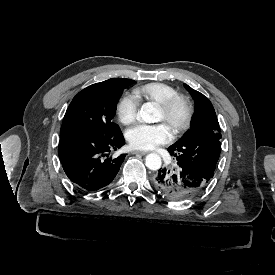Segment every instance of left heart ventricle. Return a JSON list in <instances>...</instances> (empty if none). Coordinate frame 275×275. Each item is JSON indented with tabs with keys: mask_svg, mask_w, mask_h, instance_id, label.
<instances>
[{
	"mask_svg": "<svg viewBox=\"0 0 275 275\" xmlns=\"http://www.w3.org/2000/svg\"><path fill=\"white\" fill-rule=\"evenodd\" d=\"M184 111L182 106L178 105L170 114H165L158 106L156 121L164 123L172 132L183 119Z\"/></svg>",
	"mask_w": 275,
	"mask_h": 275,
	"instance_id": "b2bd125f",
	"label": "left heart ventricle"
}]
</instances>
